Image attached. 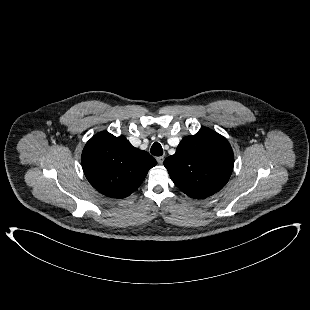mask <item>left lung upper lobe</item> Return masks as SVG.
I'll list each match as a JSON object with an SVG mask.
<instances>
[{
	"instance_id": "5c2ea615",
	"label": "left lung upper lobe",
	"mask_w": 310,
	"mask_h": 310,
	"mask_svg": "<svg viewBox=\"0 0 310 310\" xmlns=\"http://www.w3.org/2000/svg\"><path fill=\"white\" fill-rule=\"evenodd\" d=\"M174 184L189 197H209L228 182L234 166L232 148L222 135L204 127L184 137L164 161Z\"/></svg>"
}]
</instances>
